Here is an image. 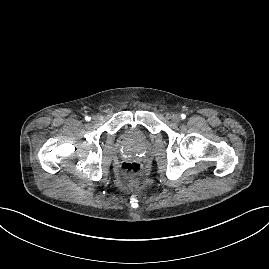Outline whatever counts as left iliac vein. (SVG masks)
I'll use <instances>...</instances> for the list:
<instances>
[{"label":"left iliac vein","instance_id":"4c4485c4","mask_svg":"<svg viewBox=\"0 0 269 269\" xmlns=\"http://www.w3.org/2000/svg\"><path fill=\"white\" fill-rule=\"evenodd\" d=\"M171 120H172L173 123L177 124V123L180 122V116L177 115V114H174V115L172 116Z\"/></svg>","mask_w":269,"mask_h":269}]
</instances>
